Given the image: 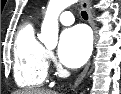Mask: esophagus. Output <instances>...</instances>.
I'll use <instances>...</instances> for the list:
<instances>
[{
	"mask_svg": "<svg viewBox=\"0 0 121 94\" xmlns=\"http://www.w3.org/2000/svg\"><path fill=\"white\" fill-rule=\"evenodd\" d=\"M81 6L86 10L88 17H89V24L91 25L93 31H94V37H95V41H97V29L96 26L94 24L93 21V14L90 8V4L88 0H82L81 1ZM90 61L87 63V65L85 66V68L83 69V71L81 72V74L78 76V78L76 79L75 83H74V87L76 88L81 81L83 80V78L85 77L89 67H90Z\"/></svg>",
	"mask_w": 121,
	"mask_h": 94,
	"instance_id": "obj_1",
	"label": "esophagus"
}]
</instances>
